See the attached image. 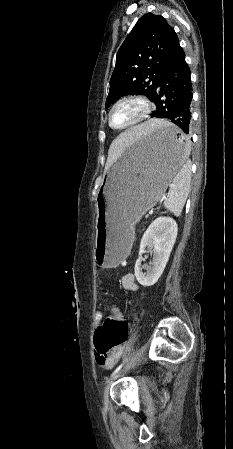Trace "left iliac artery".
Segmentation results:
<instances>
[{
	"label": "left iliac artery",
	"mask_w": 233,
	"mask_h": 449,
	"mask_svg": "<svg viewBox=\"0 0 233 449\" xmlns=\"http://www.w3.org/2000/svg\"><path fill=\"white\" fill-rule=\"evenodd\" d=\"M123 365H124V363H122V364H120L117 368H116V370L112 373V375L111 376H114L122 367H123Z\"/></svg>",
	"instance_id": "1"
}]
</instances>
